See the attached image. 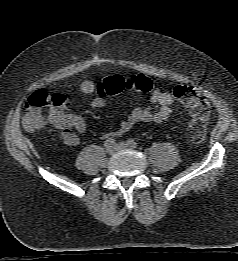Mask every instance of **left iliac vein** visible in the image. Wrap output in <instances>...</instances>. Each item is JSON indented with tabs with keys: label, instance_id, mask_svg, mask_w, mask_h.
<instances>
[{
	"label": "left iliac vein",
	"instance_id": "obj_1",
	"mask_svg": "<svg viewBox=\"0 0 238 261\" xmlns=\"http://www.w3.org/2000/svg\"><path fill=\"white\" fill-rule=\"evenodd\" d=\"M129 145L124 143V142H119L118 144H116V149L117 150H122V149H126L128 148Z\"/></svg>",
	"mask_w": 238,
	"mask_h": 261
}]
</instances>
